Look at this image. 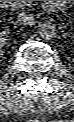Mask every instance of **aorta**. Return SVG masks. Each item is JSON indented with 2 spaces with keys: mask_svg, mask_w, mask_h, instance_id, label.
<instances>
[{
  "mask_svg": "<svg viewBox=\"0 0 74 122\" xmlns=\"http://www.w3.org/2000/svg\"><path fill=\"white\" fill-rule=\"evenodd\" d=\"M38 34L44 40H51L56 35V26L51 22H44L40 25Z\"/></svg>",
  "mask_w": 74,
  "mask_h": 122,
  "instance_id": "aorta-1",
  "label": "aorta"
}]
</instances>
